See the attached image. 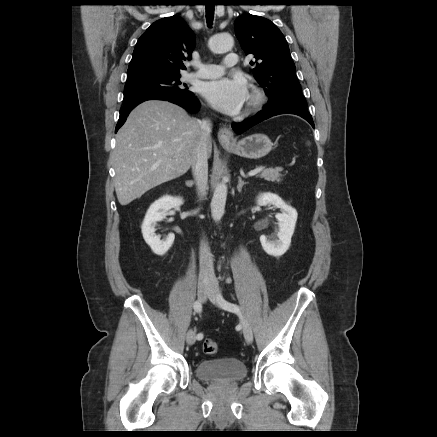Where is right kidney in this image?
Segmentation results:
<instances>
[{
  "mask_svg": "<svg viewBox=\"0 0 437 437\" xmlns=\"http://www.w3.org/2000/svg\"><path fill=\"white\" fill-rule=\"evenodd\" d=\"M183 202L180 197L166 195L156 200L147 210L141 230L145 242L156 255H164L175 239V235L171 233L165 240H161L160 236L155 234L157 222L163 220L170 209L181 206Z\"/></svg>",
  "mask_w": 437,
  "mask_h": 437,
  "instance_id": "obj_1",
  "label": "right kidney"
}]
</instances>
